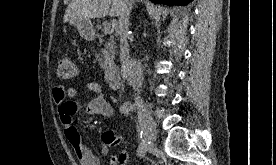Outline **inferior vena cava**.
Segmentation results:
<instances>
[{
    "label": "inferior vena cava",
    "instance_id": "obj_1",
    "mask_svg": "<svg viewBox=\"0 0 276 165\" xmlns=\"http://www.w3.org/2000/svg\"><path fill=\"white\" fill-rule=\"evenodd\" d=\"M133 0H124L119 16L118 32L120 35L121 59L124 69L135 91V100H139L142 87V69L140 63L129 59L128 27Z\"/></svg>",
    "mask_w": 276,
    "mask_h": 165
}]
</instances>
